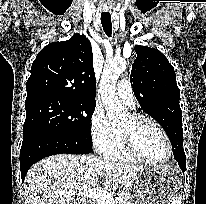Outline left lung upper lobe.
Instances as JSON below:
<instances>
[{
	"label": "left lung upper lobe",
	"instance_id": "1",
	"mask_svg": "<svg viewBox=\"0 0 206 204\" xmlns=\"http://www.w3.org/2000/svg\"><path fill=\"white\" fill-rule=\"evenodd\" d=\"M130 82L141 108L166 131L173 148L183 149L180 91L173 66L157 49L135 46Z\"/></svg>",
	"mask_w": 206,
	"mask_h": 204
}]
</instances>
